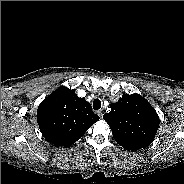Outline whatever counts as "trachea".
I'll return each mask as SVG.
<instances>
[{
    "mask_svg": "<svg viewBox=\"0 0 184 184\" xmlns=\"http://www.w3.org/2000/svg\"><path fill=\"white\" fill-rule=\"evenodd\" d=\"M101 108V101L99 99H94L93 102V109L99 110Z\"/></svg>",
    "mask_w": 184,
    "mask_h": 184,
    "instance_id": "3493384b",
    "label": "trachea"
}]
</instances>
